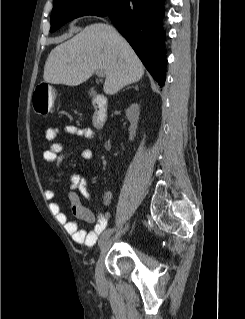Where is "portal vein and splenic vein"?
Wrapping results in <instances>:
<instances>
[{
    "mask_svg": "<svg viewBox=\"0 0 245 319\" xmlns=\"http://www.w3.org/2000/svg\"><path fill=\"white\" fill-rule=\"evenodd\" d=\"M95 73L98 77H104V72L102 70H97Z\"/></svg>",
    "mask_w": 245,
    "mask_h": 319,
    "instance_id": "obj_1",
    "label": "portal vein and splenic vein"
}]
</instances>
